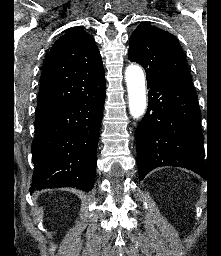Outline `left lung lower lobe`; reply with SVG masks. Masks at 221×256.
Returning <instances> with one entry per match:
<instances>
[{
  "label": "left lung lower lobe",
  "mask_w": 221,
  "mask_h": 256,
  "mask_svg": "<svg viewBox=\"0 0 221 256\" xmlns=\"http://www.w3.org/2000/svg\"><path fill=\"white\" fill-rule=\"evenodd\" d=\"M148 109L136 129L140 179L160 166L190 169L203 178V134L197 94L191 84L147 81Z\"/></svg>",
  "instance_id": "1"
}]
</instances>
